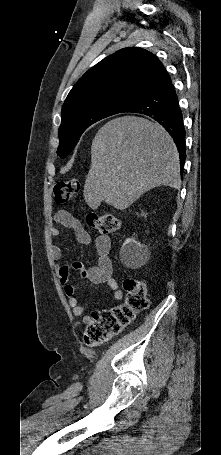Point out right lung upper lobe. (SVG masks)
<instances>
[{"instance_id":"cb5924a9","label":"right lung upper lobe","mask_w":221,"mask_h":455,"mask_svg":"<svg viewBox=\"0 0 221 455\" xmlns=\"http://www.w3.org/2000/svg\"><path fill=\"white\" fill-rule=\"evenodd\" d=\"M164 71L152 53L137 47L121 49L88 70L74 85L62 115L81 106L115 102L127 107L141 98Z\"/></svg>"}]
</instances>
